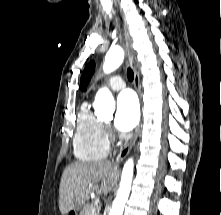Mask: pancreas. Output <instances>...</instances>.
I'll return each mask as SVG.
<instances>
[{
	"label": "pancreas",
	"mask_w": 221,
	"mask_h": 215,
	"mask_svg": "<svg viewBox=\"0 0 221 215\" xmlns=\"http://www.w3.org/2000/svg\"><path fill=\"white\" fill-rule=\"evenodd\" d=\"M98 206L96 204H89L86 205L83 209V214L82 215H97L96 211H97Z\"/></svg>",
	"instance_id": "1"
}]
</instances>
